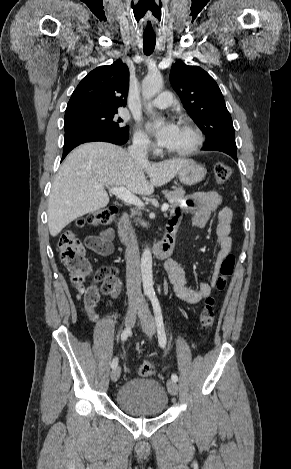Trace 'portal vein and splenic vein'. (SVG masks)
Here are the masks:
<instances>
[{"mask_svg": "<svg viewBox=\"0 0 291 469\" xmlns=\"http://www.w3.org/2000/svg\"><path fill=\"white\" fill-rule=\"evenodd\" d=\"M96 188H104L103 186L101 185H96L95 186ZM109 191L114 194L116 197H118L120 200L128 203V204H131V205H134V206H138V207H142L144 206V203L138 198L136 197L134 194H132L131 192H129L125 187L123 186H120V187H111L109 188ZM169 208V204L165 203L161 206V210L162 211H167Z\"/></svg>", "mask_w": 291, "mask_h": 469, "instance_id": "obj_1", "label": "portal vein and splenic vein"}]
</instances>
